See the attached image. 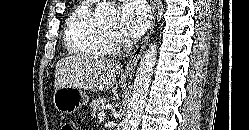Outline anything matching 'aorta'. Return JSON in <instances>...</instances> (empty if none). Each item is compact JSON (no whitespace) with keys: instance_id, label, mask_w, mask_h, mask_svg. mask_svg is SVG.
Listing matches in <instances>:
<instances>
[{"instance_id":"obj_1","label":"aorta","mask_w":249,"mask_h":130,"mask_svg":"<svg viewBox=\"0 0 249 130\" xmlns=\"http://www.w3.org/2000/svg\"><path fill=\"white\" fill-rule=\"evenodd\" d=\"M94 16L102 22H114L116 21V9L110 2L103 1L97 5ZM156 56L157 45L154 42L144 52L137 68L127 115L122 123V130L138 129L149 92Z\"/></svg>"}]
</instances>
